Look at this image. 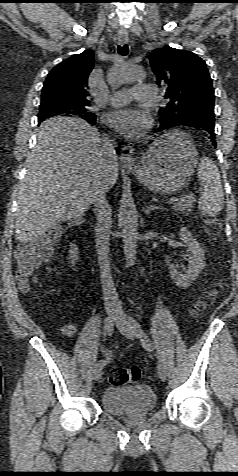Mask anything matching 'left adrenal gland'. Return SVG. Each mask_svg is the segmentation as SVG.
<instances>
[{
	"mask_svg": "<svg viewBox=\"0 0 238 476\" xmlns=\"http://www.w3.org/2000/svg\"><path fill=\"white\" fill-rule=\"evenodd\" d=\"M156 209H161L160 206H157V205H153V204H150V205H144L143 207V211L146 215H149L151 213V211H154Z\"/></svg>",
	"mask_w": 238,
	"mask_h": 476,
	"instance_id": "obj_1",
	"label": "left adrenal gland"
}]
</instances>
